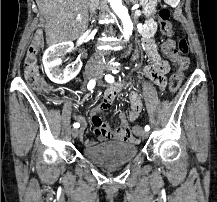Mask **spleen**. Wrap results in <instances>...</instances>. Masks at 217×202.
<instances>
[{"label":"spleen","mask_w":217,"mask_h":202,"mask_svg":"<svg viewBox=\"0 0 217 202\" xmlns=\"http://www.w3.org/2000/svg\"><path fill=\"white\" fill-rule=\"evenodd\" d=\"M166 5H169V7H178V0H166Z\"/></svg>","instance_id":"3e777b00"}]
</instances>
